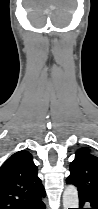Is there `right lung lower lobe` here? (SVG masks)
<instances>
[{"label":"right lung lower lobe","mask_w":98,"mask_h":209,"mask_svg":"<svg viewBox=\"0 0 98 209\" xmlns=\"http://www.w3.org/2000/svg\"><path fill=\"white\" fill-rule=\"evenodd\" d=\"M45 195L46 193L43 192L36 199L24 205L20 209H45V204L42 202V199H41V197H44Z\"/></svg>","instance_id":"1"}]
</instances>
